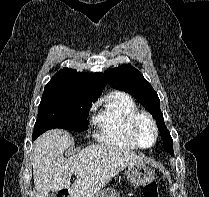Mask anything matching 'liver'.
Instances as JSON below:
<instances>
[{
    "label": "liver",
    "mask_w": 209,
    "mask_h": 197,
    "mask_svg": "<svg viewBox=\"0 0 209 197\" xmlns=\"http://www.w3.org/2000/svg\"><path fill=\"white\" fill-rule=\"evenodd\" d=\"M73 138L62 129L42 134L32 152L35 197L68 189L71 197H92L127 166L144 160L134 152L110 144H93L65 158ZM76 176L70 183L71 176Z\"/></svg>",
    "instance_id": "6515ba94"
}]
</instances>
